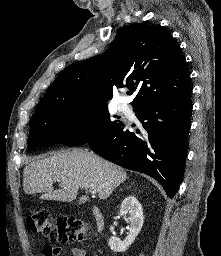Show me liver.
Instances as JSON below:
<instances>
[{"label": "liver", "instance_id": "liver-1", "mask_svg": "<svg viewBox=\"0 0 221 256\" xmlns=\"http://www.w3.org/2000/svg\"><path fill=\"white\" fill-rule=\"evenodd\" d=\"M127 179L121 167L92 152L73 149L29 163L23 171V189L28 195L42 193L41 199L72 202L79 189L94 188L100 199H107ZM62 188L54 190L53 183Z\"/></svg>", "mask_w": 221, "mask_h": 256}]
</instances>
